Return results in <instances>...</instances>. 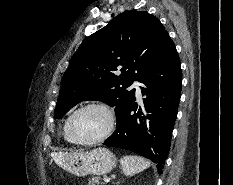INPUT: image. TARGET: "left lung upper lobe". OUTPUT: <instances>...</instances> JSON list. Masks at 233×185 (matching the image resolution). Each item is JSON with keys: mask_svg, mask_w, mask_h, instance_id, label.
Masks as SVG:
<instances>
[{"mask_svg": "<svg viewBox=\"0 0 233 185\" xmlns=\"http://www.w3.org/2000/svg\"><path fill=\"white\" fill-rule=\"evenodd\" d=\"M168 32L160 20L146 11H125L108 25L87 37L69 62L58 97L55 116L62 118L85 100H99L115 106L117 122L135 99L138 80L159 53ZM122 66L121 75L114 71Z\"/></svg>", "mask_w": 233, "mask_h": 185, "instance_id": "obj_1", "label": "left lung upper lobe"}]
</instances>
